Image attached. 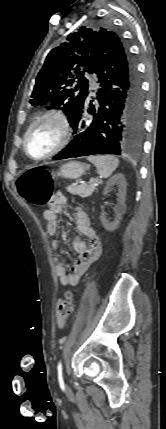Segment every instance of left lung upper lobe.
Wrapping results in <instances>:
<instances>
[{"label": "left lung upper lobe", "instance_id": "5c2ea615", "mask_svg": "<svg viewBox=\"0 0 166 429\" xmlns=\"http://www.w3.org/2000/svg\"><path fill=\"white\" fill-rule=\"evenodd\" d=\"M112 35L118 36L108 28L85 26L70 34L66 42L48 54L37 75L30 104L42 106L51 102L64 105L63 110L72 126L88 90L85 72L92 73L99 44L110 41Z\"/></svg>", "mask_w": 166, "mask_h": 429}]
</instances>
